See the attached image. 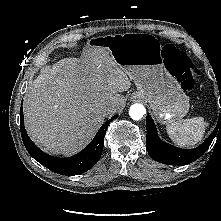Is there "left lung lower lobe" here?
Masks as SVG:
<instances>
[{
	"instance_id": "0a47b994",
	"label": "left lung lower lobe",
	"mask_w": 221,
	"mask_h": 221,
	"mask_svg": "<svg viewBox=\"0 0 221 221\" xmlns=\"http://www.w3.org/2000/svg\"><path fill=\"white\" fill-rule=\"evenodd\" d=\"M147 140L146 146L149 155L156 161L167 165H186L203 155L209 148L212 140L218 132L221 134V117H219L218 124L212 134L206 139V141L195 149H180L171 145H168L160 140L157 135L155 124L151 116L147 115Z\"/></svg>"
}]
</instances>
